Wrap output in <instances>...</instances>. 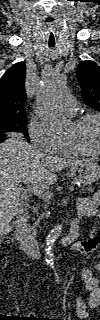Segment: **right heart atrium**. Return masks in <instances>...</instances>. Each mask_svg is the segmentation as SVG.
<instances>
[{"instance_id":"d8ad5b80","label":"right heart atrium","mask_w":100,"mask_h":320,"mask_svg":"<svg viewBox=\"0 0 100 320\" xmlns=\"http://www.w3.org/2000/svg\"><path fill=\"white\" fill-rule=\"evenodd\" d=\"M28 135L37 149L47 153H55L60 141L43 123L35 120L28 124Z\"/></svg>"}]
</instances>
